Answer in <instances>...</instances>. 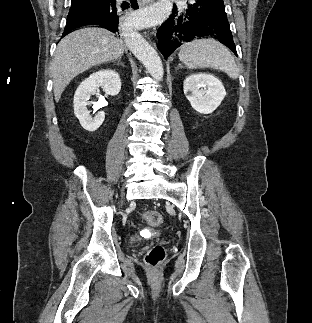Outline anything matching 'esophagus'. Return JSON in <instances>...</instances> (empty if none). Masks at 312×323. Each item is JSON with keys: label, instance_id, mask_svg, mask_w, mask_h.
I'll return each mask as SVG.
<instances>
[{"label": "esophagus", "instance_id": "34e87169", "mask_svg": "<svg viewBox=\"0 0 312 323\" xmlns=\"http://www.w3.org/2000/svg\"><path fill=\"white\" fill-rule=\"evenodd\" d=\"M153 2H154V0H138V4L140 7H144V5H148Z\"/></svg>", "mask_w": 312, "mask_h": 323}]
</instances>
